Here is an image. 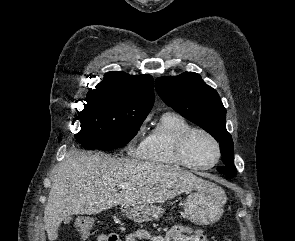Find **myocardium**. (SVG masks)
Masks as SVG:
<instances>
[{"label": "myocardium", "mask_w": 295, "mask_h": 241, "mask_svg": "<svg viewBox=\"0 0 295 241\" xmlns=\"http://www.w3.org/2000/svg\"><path fill=\"white\" fill-rule=\"evenodd\" d=\"M196 133H202L206 135L214 143L216 147L217 157L215 161L208 166H200V165L193 164L187 157L186 150H187L188 143L190 139L192 138V136ZM175 154L179 162L186 168H189L191 170L204 171V170H210L214 168L220 162L222 157V149H221L220 142L210 131L204 128L192 127L188 129L184 134H182V136L178 139L176 143V147H175Z\"/></svg>", "instance_id": "1"}]
</instances>
